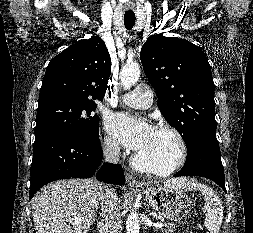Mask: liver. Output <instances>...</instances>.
Masks as SVG:
<instances>
[{"label":"liver","mask_w":253,"mask_h":233,"mask_svg":"<svg viewBox=\"0 0 253 233\" xmlns=\"http://www.w3.org/2000/svg\"><path fill=\"white\" fill-rule=\"evenodd\" d=\"M174 184V180L165 182ZM102 187L95 179H70L42 189L32 200L35 233H88Z\"/></svg>","instance_id":"6515ba94"}]
</instances>
